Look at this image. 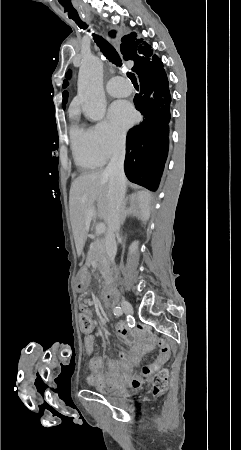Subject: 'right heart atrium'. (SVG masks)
<instances>
[{"mask_svg":"<svg viewBox=\"0 0 241 450\" xmlns=\"http://www.w3.org/2000/svg\"><path fill=\"white\" fill-rule=\"evenodd\" d=\"M93 151L102 160L106 161L115 155H127L125 133L114 128L106 121L98 123L92 132Z\"/></svg>","mask_w":241,"mask_h":450,"instance_id":"1","label":"right heart atrium"}]
</instances>
